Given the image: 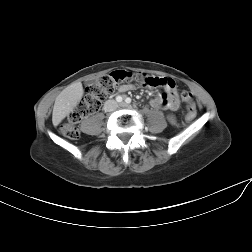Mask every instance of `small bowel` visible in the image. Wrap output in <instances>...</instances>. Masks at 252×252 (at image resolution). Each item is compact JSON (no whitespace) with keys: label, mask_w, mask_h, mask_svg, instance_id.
<instances>
[{"label":"small bowel","mask_w":252,"mask_h":252,"mask_svg":"<svg viewBox=\"0 0 252 252\" xmlns=\"http://www.w3.org/2000/svg\"><path fill=\"white\" fill-rule=\"evenodd\" d=\"M148 79L154 85L151 87H159L164 90L163 94L151 99L150 105L155 109L166 108L170 110H176L179 107L176 82L171 78L165 77H148ZM133 88L134 86L127 85L124 87L123 91H128Z\"/></svg>","instance_id":"small-bowel-1"}]
</instances>
